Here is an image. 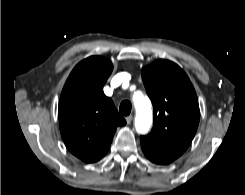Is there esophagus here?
I'll list each match as a JSON object with an SVG mask.
<instances>
[{
  "mask_svg": "<svg viewBox=\"0 0 245 195\" xmlns=\"http://www.w3.org/2000/svg\"><path fill=\"white\" fill-rule=\"evenodd\" d=\"M132 120H133V116L132 115H129V116L126 117L127 124H131Z\"/></svg>",
  "mask_w": 245,
  "mask_h": 195,
  "instance_id": "34e87169",
  "label": "esophagus"
}]
</instances>
